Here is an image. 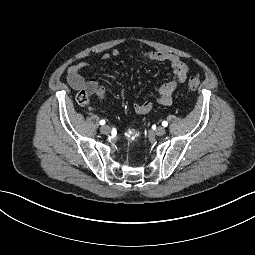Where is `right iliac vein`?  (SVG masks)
I'll list each match as a JSON object with an SVG mask.
<instances>
[{
  "label": "right iliac vein",
  "mask_w": 255,
  "mask_h": 255,
  "mask_svg": "<svg viewBox=\"0 0 255 255\" xmlns=\"http://www.w3.org/2000/svg\"><path fill=\"white\" fill-rule=\"evenodd\" d=\"M100 131H101L102 134L108 135V134L110 133L111 129H110L109 126L104 125V126H102V127L100 128Z\"/></svg>",
  "instance_id": "1"
}]
</instances>
